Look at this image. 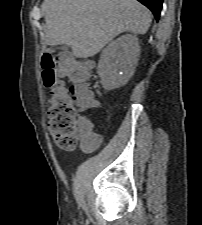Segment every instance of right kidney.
<instances>
[{
    "label": "right kidney",
    "mask_w": 202,
    "mask_h": 225,
    "mask_svg": "<svg viewBox=\"0 0 202 225\" xmlns=\"http://www.w3.org/2000/svg\"><path fill=\"white\" fill-rule=\"evenodd\" d=\"M140 55L136 35H123L102 51L97 73L105 90L125 85L133 76Z\"/></svg>",
    "instance_id": "obj_1"
}]
</instances>
